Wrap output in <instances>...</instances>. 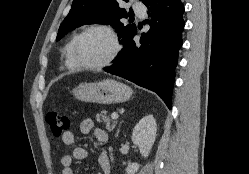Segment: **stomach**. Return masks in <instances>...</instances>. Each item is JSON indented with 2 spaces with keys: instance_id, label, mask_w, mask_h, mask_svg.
Here are the masks:
<instances>
[{
  "instance_id": "1",
  "label": "stomach",
  "mask_w": 249,
  "mask_h": 174,
  "mask_svg": "<svg viewBox=\"0 0 249 174\" xmlns=\"http://www.w3.org/2000/svg\"><path fill=\"white\" fill-rule=\"evenodd\" d=\"M72 93L81 101L114 104L129 100L132 90L123 83L106 79L95 83H81L73 89Z\"/></svg>"
}]
</instances>
